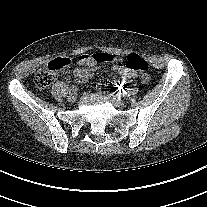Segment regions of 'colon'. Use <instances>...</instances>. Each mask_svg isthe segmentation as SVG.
<instances>
[{"label":"colon","instance_id":"1","mask_svg":"<svg viewBox=\"0 0 207 207\" xmlns=\"http://www.w3.org/2000/svg\"><path fill=\"white\" fill-rule=\"evenodd\" d=\"M92 57L98 62H111L115 56L107 53H95ZM72 64L70 58L59 57L50 61L46 67L39 70L34 76V84L39 89L48 88L56 78V71L68 68ZM125 67L129 70L137 72H146L148 70V62L137 54H130L125 61Z\"/></svg>","mask_w":207,"mask_h":207}]
</instances>
